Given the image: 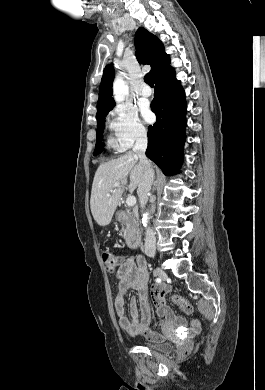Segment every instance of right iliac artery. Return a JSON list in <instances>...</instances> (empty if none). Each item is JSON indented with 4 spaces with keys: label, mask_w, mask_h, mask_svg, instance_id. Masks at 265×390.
Instances as JSON below:
<instances>
[{
    "label": "right iliac artery",
    "mask_w": 265,
    "mask_h": 390,
    "mask_svg": "<svg viewBox=\"0 0 265 390\" xmlns=\"http://www.w3.org/2000/svg\"><path fill=\"white\" fill-rule=\"evenodd\" d=\"M156 282H157V283H160V282H161V279H160V278H156Z\"/></svg>",
    "instance_id": "right-iliac-artery-1"
}]
</instances>
